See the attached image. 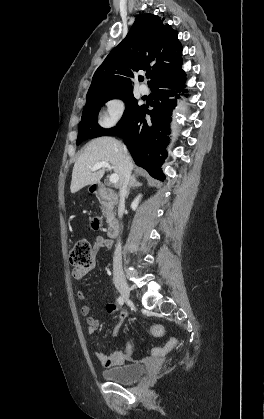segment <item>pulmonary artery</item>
Instances as JSON below:
<instances>
[{
    "instance_id": "1",
    "label": "pulmonary artery",
    "mask_w": 264,
    "mask_h": 419,
    "mask_svg": "<svg viewBox=\"0 0 264 419\" xmlns=\"http://www.w3.org/2000/svg\"><path fill=\"white\" fill-rule=\"evenodd\" d=\"M139 91H140L142 94H147V93L149 92V89H148V87H147L145 84H141V85L139 86Z\"/></svg>"
}]
</instances>
